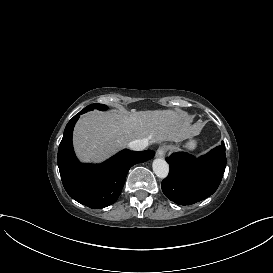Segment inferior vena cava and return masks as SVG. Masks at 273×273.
<instances>
[{"label":"inferior vena cava","mask_w":273,"mask_h":273,"mask_svg":"<svg viewBox=\"0 0 273 273\" xmlns=\"http://www.w3.org/2000/svg\"><path fill=\"white\" fill-rule=\"evenodd\" d=\"M147 145H148V140L141 139V140L130 141L127 144V147H129L133 151H141V150L145 149L147 147Z\"/></svg>","instance_id":"inferior-vena-cava-1"}]
</instances>
